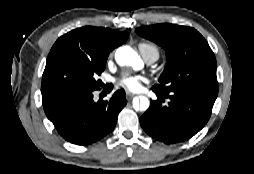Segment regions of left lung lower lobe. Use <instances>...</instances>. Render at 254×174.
I'll return each instance as SVG.
<instances>
[{
	"label": "left lung lower lobe",
	"mask_w": 254,
	"mask_h": 174,
	"mask_svg": "<svg viewBox=\"0 0 254 174\" xmlns=\"http://www.w3.org/2000/svg\"><path fill=\"white\" fill-rule=\"evenodd\" d=\"M153 91L160 99L151 101L140 124L151 137L166 144L186 141L199 132L209 120L217 97L198 89H180L168 94ZM165 98L170 99L167 106L162 105Z\"/></svg>",
	"instance_id": "obj_1"
}]
</instances>
